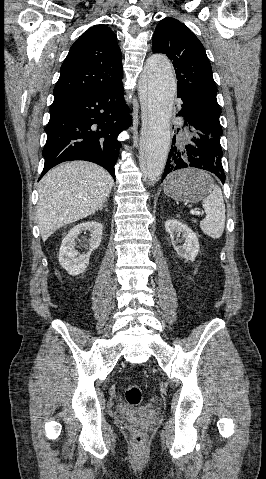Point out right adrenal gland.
<instances>
[{"label": "right adrenal gland", "instance_id": "1", "mask_svg": "<svg viewBox=\"0 0 266 479\" xmlns=\"http://www.w3.org/2000/svg\"><path fill=\"white\" fill-rule=\"evenodd\" d=\"M106 206H107L106 204L102 205L100 210H103Z\"/></svg>", "mask_w": 266, "mask_h": 479}]
</instances>
